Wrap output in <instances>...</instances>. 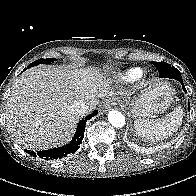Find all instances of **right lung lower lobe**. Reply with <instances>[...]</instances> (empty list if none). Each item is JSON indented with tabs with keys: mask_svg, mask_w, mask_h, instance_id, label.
<instances>
[{
	"mask_svg": "<svg viewBox=\"0 0 196 196\" xmlns=\"http://www.w3.org/2000/svg\"><path fill=\"white\" fill-rule=\"evenodd\" d=\"M97 113L98 112L95 110L91 115H88L87 117H85V119H82L79 122L76 133L69 144L59 148L38 151L37 153L28 150H25V152H27L31 156H39L40 158H45V159H59L62 157H66L69 154L75 153L79 149V146L84 137L85 125L87 120L91 119Z\"/></svg>",
	"mask_w": 196,
	"mask_h": 196,
	"instance_id": "1",
	"label": "right lung lower lobe"
}]
</instances>
